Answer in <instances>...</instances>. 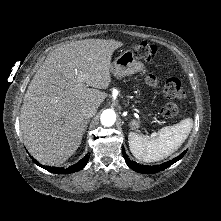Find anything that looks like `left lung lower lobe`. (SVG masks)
<instances>
[{"instance_id":"0a47b994","label":"left lung lower lobe","mask_w":221,"mask_h":221,"mask_svg":"<svg viewBox=\"0 0 221 221\" xmlns=\"http://www.w3.org/2000/svg\"><path fill=\"white\" fill-rule=\"evenodd\" d=\"M123 151V156L125 158V161L127 163V165L133 169L136 172L139 173H143V174H154V173H158L166 168H168L169 166H171L172 164H174L175 162H177L178 160H180L186 153V151H184L182 154H180L178 157L162 163L160 165H155V166H145V165H140L134 161H131L130 158L128 157V155H126L125 153V149L122 150Z\"/></svg>"}]
</instances>
